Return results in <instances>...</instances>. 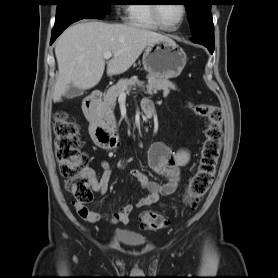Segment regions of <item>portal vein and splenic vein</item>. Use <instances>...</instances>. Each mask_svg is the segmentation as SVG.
Instances as JSON below:
<instances>
[{
	"instance_id": "18ae733b",
	"label": "portal vein and splenic vein",
	"mask_w": 278,
	"mask_h": 278,
	"mask_svg": "<svg viewBox=\"0 0 278 278\" xmlns=\"http://www.w3.org/2000/svg\"><path fill=\"white\" fill-rule=\"evenodd\" d=\"M113 55H116V54H113L112 52H105V53H104V58H105V59H110ZM124 91H128V89H127V88H124V89H123V92H124Z\"/></svg>"
}]
</instances>
